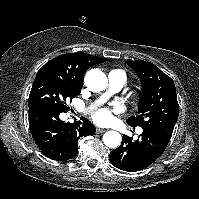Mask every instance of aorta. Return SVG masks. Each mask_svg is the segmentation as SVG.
<instances>
[{
    "mask_svg": "<svg viewBox=\"0 0 199 199\" xmlns=\"http://www.w3.org/2000/svg\"><path fill=\"white\" fill-rule=\"evenodd\" d=\"M86 86L93 92H100L106 89L108 79L99 69H91L85 76ZM103 142L109 148H117L121 143V135L116 131H107L103 135Z\"/></svg>",
    "mask_w": 199,
    "mask_h": 199,
    "instance_id": "aorta-1",
    "label": "aorta"
}]
</instances>
